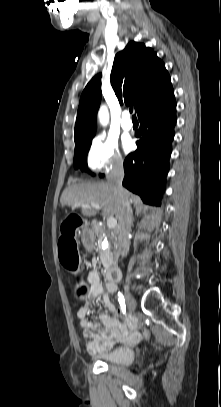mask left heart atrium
I'll return each mask as SVG.
<instances>
[{"label":"left heart atrium","mask_w":221,"mask_h":407,"mask_svg":"<svg viewBox=\"0 0 221 407\" xmlns=\"http://www.w3.org/2000/svg\"><path fill=\"white\" fill-rule=\"evenodd\" d=\"M132 147H133V144H132L131 140L126 139V140L124 141V148H125V150L129 151V150L132 149Z\"/></svg>","instance_id":"39dd6f15"}]
</instances>
